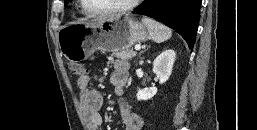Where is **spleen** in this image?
<instances>
[{"label": "spleen", "instance_id": "spleen-1", "mask_svg": "<svg viewBox=\"0 0 257 130\" xmlns=\"http://www.w3.org/2000/svg\"><path fill=\"white\" fill-rule=\"evenodd\" d=\"M142 22L147 27L154 42L161 43L171 38L172 31L167 26L148 17H143Z\"/></svg>", "mask_w": 257, "mask_h": 130}]
</instances>
